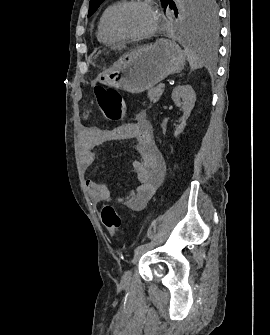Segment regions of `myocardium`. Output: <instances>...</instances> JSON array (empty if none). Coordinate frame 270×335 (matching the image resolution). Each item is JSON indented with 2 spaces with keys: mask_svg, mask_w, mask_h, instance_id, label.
Returning a JSON list of instances; mask_svg holds the SVG:
<instances>
[{
  "mask_svg": "<svg viewBox=\"0 0 270 335\" xmlns=\"http://www.w3.org/2000/svg\"><path fill=\"white\" fill-rule=\"evenodd\" d=\"M130 5H138L142 8H144L153 18V25L152 27L145 33L142 34H131L126 31H124L118 24V18L119 15L122 13V11ZM159 22V17L157 13L148 5L144 4L143 2L140 1H135L131 0L128 2H122L119 6H117L110 14L109 20H108V25L109 29L113 34L116 36L122 38V39H130V40H141L144 38L149 37L157 28ZM140 78V77H139ZM141 78H149V77H141Z\"/></svg>",
  "mask_w": 270,
  "mask_h": 335,
  "instance_id": "1",
  "label": "myocardium"
}]
</instances>
